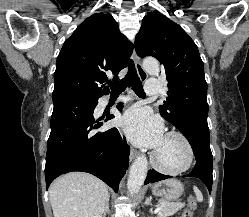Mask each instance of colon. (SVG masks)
I'll list each match as a JSON object with an SVG mask.
<instances>
[{
    "mask_svg": "<svg viewBox=\"0 0 249 217\" xmlns=\"http://www.w3.org/2000/svg\"><path fill=\"white\" fill-rule=\"evenodd\" d=\"M196 207V200L194 197H190L188 201V206L183 212L182 217H192Z\"/></svg>",
    "mask_w": 249,
    "mask_h": 217,
    "instance_id": "5ec220e1",
    "label": "colon"
}]
</instances>
